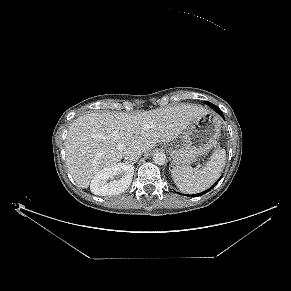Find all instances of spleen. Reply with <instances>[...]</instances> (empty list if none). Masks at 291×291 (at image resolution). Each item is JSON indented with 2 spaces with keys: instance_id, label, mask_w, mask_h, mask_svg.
<instances>
[{
  "instance_id": "obj_1",
  "label": "spleen",
  "mask_w": 291,
  "mask_h": 291,
  "mask_svg": "<svg viewBox=\"0 0 291 291\" xmlns=\"http://www.w3.org/2000/svg\"><path fill=\"white\" fill-rule=\"evenodd\" d=\"M226 151H214L202 168L174 167L172 178L178 189L185 194H197L210 188L221 176L225 166Z\"/></svg>"
}]
</instances>
